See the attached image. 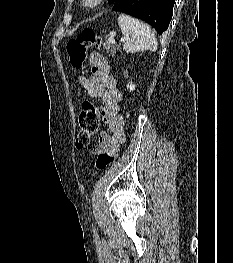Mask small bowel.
<instances>
[{
	"mask_svg": "<svg viewBox=\"0 0 233 263\" xmlns=\"http://www.w3.org/2000/svg\"><path fill=\"white\" fill-rule=\"evenodd\" d=\"M89 62L93 75H80L78 82L90 96L102 100L101 114L107 124V130L100 133L95 153H118L126 141L125 122L120 114L122 94L103 55L91 53Z\"/></svg>",
	"mask_w": 233,
	"mask_h": 263,
	"instance_id": "1",
	"label": "small bowel"
}]
</instances>
